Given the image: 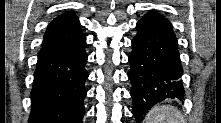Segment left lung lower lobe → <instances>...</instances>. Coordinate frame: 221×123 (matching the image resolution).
<instances>
[{"label": "left lung lower lobe", "mask_w": 221, "mask_h": 123, "mask_svg": "<svg viewBox=\"0 0 221 123\" xmlns=\"http://www.w3.org/2000/svg\"><path fill=\"white\" fill-rule=\"evenodd\" d=\"M129 56L133 115L137 122L156 103L168 98L182 100L185 94L181 76L178 43L171 23L156 11L136 24Z\"/></svg>", "instance_id": "1"}]
</instances>
